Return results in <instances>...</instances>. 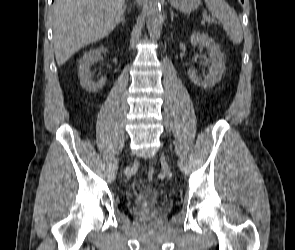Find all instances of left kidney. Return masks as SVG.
I'll return each mask as SVG.
<instances>
[{
	"instance_id": "1",
	"label": "left kidney",
	"mask_w": 295,
	"mask_h": 250,
	"mask_svg": "<svg viewBox=\"0 0 295 250\" xmlns=\"http://www.w3.org/2000/svg\"><path fill=\"white\" fill-rule=\"evenodd\" d=\"M194 46L206 47L209 52L208 58L204 56L205 64H210V71L206 77H199L194 69L188 70L191 81L203 88L213 87L221 79L225 70L224 54L221 53L219 46L207 34L194 32L190 38Z\"/></svg>"
}]
</instances>
